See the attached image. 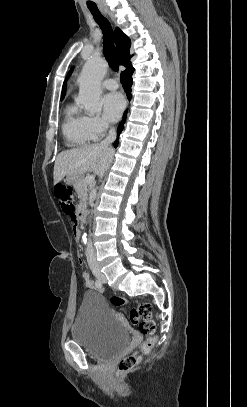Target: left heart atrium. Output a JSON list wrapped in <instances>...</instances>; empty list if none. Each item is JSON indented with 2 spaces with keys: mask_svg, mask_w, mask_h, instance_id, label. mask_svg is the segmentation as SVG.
I'll list each match as a JSON object with an SVG mask.
<instances>
[{
  "mask_svg": "<svg viewBox=\"0 0 247 407\" xmlns=\"http://www.w3.org/2000/svg\"><path fill=\"white\" fill-rule=\"evenodd\" d=\"M101 105L104 118L109 122H115L121 116L125 100L120 93L111 92L103 96Z\"/></svg>",
  "mask_w": 247,
  "mask_h": 407,
  "instance_id": "39dd6f15",
  "label": "left heart atrium"
}]
</instances>
